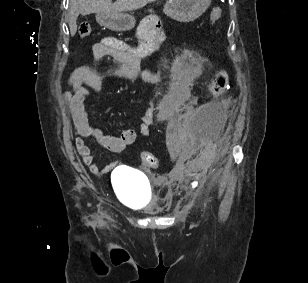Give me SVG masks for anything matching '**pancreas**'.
Listing matches in <instances>:
<instances>
[{
	"instance_id": "cf45deb5",
	"label": "pancreas",
	"mask_w": 308,
	"mask_h": 283,
	"mask_svg": "<svg viewBox=\"0 0 308 283\" xmlns=\"http://www.w3.org/2000/svg\"><path fill=\"white\" fill-rule=\"evenodd\" d=\"M149 12H150V13H153V11H152V10H149Z\"/></svg>"
}]
</instances>
